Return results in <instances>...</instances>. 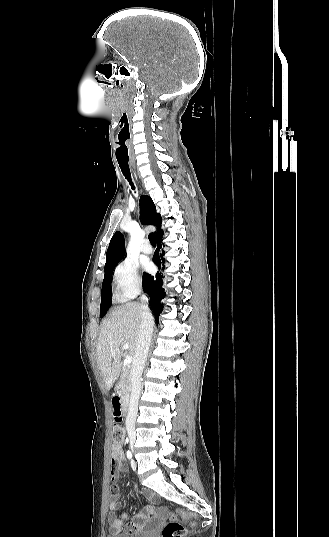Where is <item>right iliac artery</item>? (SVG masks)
Returning <instances> with one entry per match:
<instances>
[{"instance_id": "82829eb1", "label": "right iliac artery", "mask_w": 329, "mask_h": 537, "mask_svg": "<svg viewBox=\"0 0 329 537\" xmlns=\"http://www.w3.org/2000/svg\"><path fill=\"white\" fill-rule=\"evenodd\" d=\"M127 457H128V459L132 458V453L129 450L127 451Z\"/></svg>"}]
</instances>
